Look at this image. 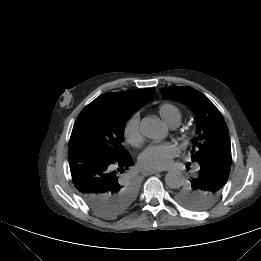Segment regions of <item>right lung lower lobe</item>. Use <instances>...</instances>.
<instances>
[{
    "label": "right lung lower lobe",
    "instance_id": "1",
    "mask_svg": "<svg viewBox=\"0 0 261 261\" xmlns=\"http://www.w3.org/2000/svg\"><path fill=\"white\" fill-rule=\"evenodd\" d=\"M68 159L75 188L83 200L91 206L114 212L117 209V199L103 200L105 194H110L121 186L126 177V170L132 165L131 156L116 158L105 156L84 145L69 147Z\"/></svg>",
    "mask_w": 261,
    "mask_h": 261
}]
</instances>
